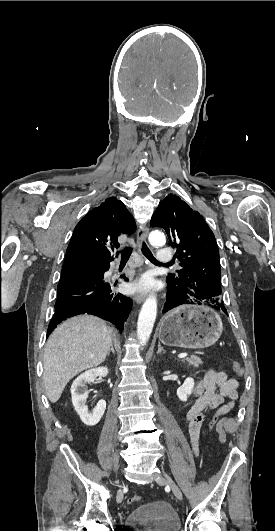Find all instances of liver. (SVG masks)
I'll return each mask as SVG.
<instances>
[{
  "label": "liver",
  "instance_id": "1",
  "mask_svg": "<svg viewBox=\"0 0 275 531\" xmlns=\"http://www.w3.org/2000/svg\"><path fill=\"white\" fill-rule=\"evenodd\" d=\"M111 343V331L98 317L78 315L58 325L45 345L43 357V381L49 401L57 403L75 375L104 363Z\"/></svg>",
  "mask_w": 275,
  "mask_h": 531
}]
</instances>
